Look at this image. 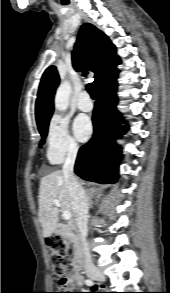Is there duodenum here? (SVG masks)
Wrapping results in <instances>:
<instances>
[{"mask_svg": "<svg viewBox=\"0 0 170 293\" xmlns=\"http://www.w3.org/2000/svg\"><path fill=\"white\" fill-rule=\"evenodd\" d=\"M79 230L78 224L74 218L71 219V221L68 224H58L55 225L53 228V235H62L67 236L71 234L77 233ZM73 268L76 271H80L83 268V257L81 252H78L72 261Z\"/></svg>", "mask_w": 170, "mask_h": 293, "instance_id": "1", "label": "duodenum"}]
</instances>
